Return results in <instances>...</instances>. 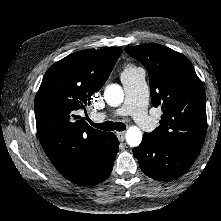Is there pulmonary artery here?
<instances>
[{
  "label": "pulmonary artery",
  "instance_id": "pulmonary-artery-1",
  "mask_svg": "<svg viewBox=\"0 0 221 221\" xmlns=\"http://www.w3.org/2000/svg\"><path fill=\"white\" fill-rule=\"evenodd\" d=\"M121 81L125 100L112 116H131L139 126H153L154 119L147 112L149 92L144 71L138 68L133 72L122 74ZM106 116V113H98L93 115L92 119L102 121Z\"/></svg>",
  "mask_w": 221,
  "mask_h": 221
}]
</instances>
